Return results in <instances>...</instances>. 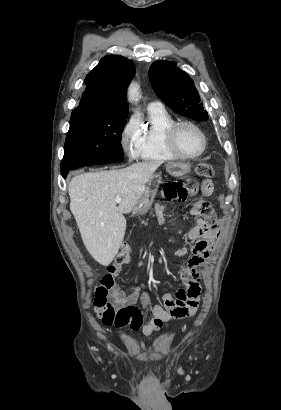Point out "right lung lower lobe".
<instances>
[{"instance_id": "1", "label": "right lung lower lobe", "mask_w": 281, "mask_h": 410, "mask_svg": "<svg viewBox=\"0 0 281 410\" xmlns=\"http://www.w3.org/2000/svg\"><path fill=\"white\" fill-rule=\"evenodd\" d=\"M67 173H68V171L62 172V176H63L64 178H66Z\"/></svg>"}]
</instances>
